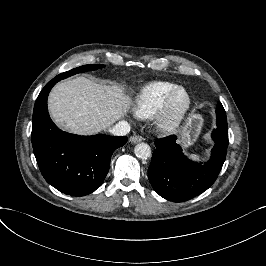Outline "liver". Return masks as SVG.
I'll list each match as a JSON object with an SVG mask.
<instances>
[{"instance_id":"1","label":"liver","mask_w":266,"mask_h":266,"mask_svg":"<svg viewBox=\"0 0 266 266\" xmlns=\"http://www.w3.org/2000/svg\"><path fill=\"white\" fill-rule=\"evenodd\" d=\"M130 103L123 86L97 84L83 76L57 83L48 97L56 125L79 135L106 130L124 116Z\"/></svg>"}]
</instances>
